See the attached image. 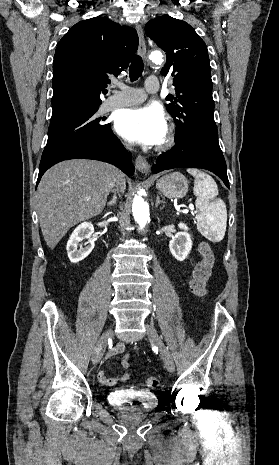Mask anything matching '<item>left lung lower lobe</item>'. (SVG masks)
Returning <instances> with one entry per match:
<instances>
[{
    "instance_id": "0a47b994",
    "label": "left lung lower lobe",
    "mask_w": 279,
    "mask_h": 465,
    "mask_svg": "<svg viewBox=\"0 0 279 465\" xmlns=\"http://www.w3.org/2000/svg\"><path fill=\"white\" fill-rule=\"evenodd\" d=\"M181 167L209 170L219 176L224 184L230 188L222 151H216L192 140L178 142L171 150L158 157L156 164L152 166V173L156 174L166 169Z\"/></svg>"
}]
</instances>
